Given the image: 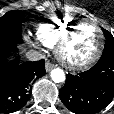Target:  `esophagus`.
Segmentation results:
<instances>
[{"label": "esophagus", "mask_w": 114, "mask_h": 114, "mask_svg": "<svg viewBox=\"0 0 114 114\" xmlns=\"http://www.w3.org/2000/svg\"><path fill=\"white\" fill-rule=\"evenodd\" d=\"M55 67V65L49 61L46 62L45 64V69L47 72H49L50 70H52Z\"/></svg>", "instance_id": "obj_1"}]
</instances>
